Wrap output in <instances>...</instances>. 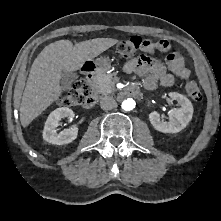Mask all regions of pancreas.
<instances>
[{"label":"pancreas","mask_w":221,"mask_h":221,"mask_svg":"<svg viewBox=\"0 0 221 221\" xmlns=\"http://www.w3.org/2000/svg\"><path fill=\"white\" fill-rule=\"evenodd\" d=\"M95 94H110L115 91L112 74L100 73L92 85Z\"/></svg>","instance_id":"cf45deb5"}]
</instances>
